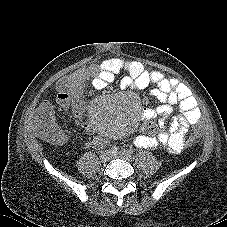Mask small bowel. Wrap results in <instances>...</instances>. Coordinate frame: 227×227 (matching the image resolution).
<instances>
[{"label":"small bowel","instance_id":"obj_1","mask_svg":"<svg viewBox=\"0 0 227 227\" xmlns=\"http://www.w3.org/2000/svg\"><path fill=\"white\" fill-rule=\"evenodd\" d=\"M121 71L126 73L120 81L122 87L145 89L153 85L151 94L160 102L154 109L143 110L141 118L144 121L158 119V123L150 124L139 133L135 137V145L140 148L161 147L172 154L181 152L189 127L201 117L197 101L184 83L168 78L159 71H148L138 61L110 58L64 76L56 85L60 105L68 106L72 98H80L89 81L95 89L105 88ZM174 106H178L181 112L169 121ZM40 111L51 115L52 107L43 103Z\"/></svg>","mask_w":227,"mask_h":227}]
</instances>
